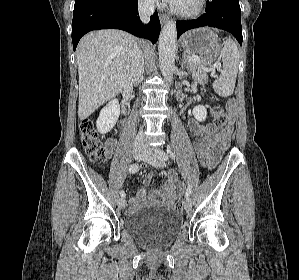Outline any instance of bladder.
<instances>
[{
	"instance_id": "obj_1",
	"label": "bladder",
	"mask_w": 299,
	"mask_h": 280,
	"mask_svg": "<svg viewBox=\"0 0 299 280\" xmlns=\"http://www.w3.org/2000/svg\"><path fill=\"white\" fill-rule=\"evenodd\" d=\"M126 230L150 249L170 245L182 228V216L172 207L154 206L145 208L125 220Z\"/></svg>"
}]
</instances>
